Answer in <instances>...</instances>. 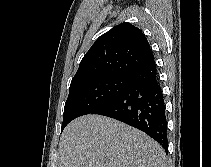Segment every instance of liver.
Segmentation results:
<instances>
[{
	"label": "liver",
	"mask_w": 211,
	"mask_h": 167,
	"mask_svg": "<svg viewBox=\"0 0 211 167\" xmlns=\"http://www.w3.org/2000/svg\"><path fill=\"white\" fill-rule=\"evenodd\" d=\"M59 167H166L164 149L142 131L101 115H85L64 129Z\"/></svg>",
	"instance_id": "obj_1"
}]
</instances>
